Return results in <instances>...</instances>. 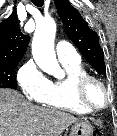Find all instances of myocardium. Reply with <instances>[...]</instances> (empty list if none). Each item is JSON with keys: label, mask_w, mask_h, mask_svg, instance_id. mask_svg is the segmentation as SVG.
<instances>
[{"label": "myocardium", "mask_w": 117, "mask_h": 136, "mask_svg": "<svg viewBox=\"0 0 117 136\" xmlns=\"http://www.w3.org/2000/svg\"><path fill=\"white\" fill-rule=\"evenodd\" d=\"M91 83L99 85L106 96L105 103L102 106L97 107L92 105L87 98V90ZM73 93L76 101L91 113H97L105 110L112 102V95L105 83L101 79L87 73L74 79Z\"/></svg>", "instance_id": "myocardium-1"}]
</instances>
